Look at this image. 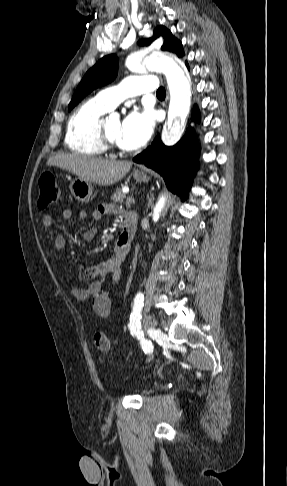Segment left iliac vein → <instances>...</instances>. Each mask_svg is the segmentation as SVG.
Listing matches in <instances>:
<instances>
[{"mask_svg": "<svg viewBox=\"0 0 287 486\" xmlns=\"http://www.w3.org/2000/svg\"><path fill=\"white\" fill-rule=\"evenodd\" d=\"M155 324H156V321H155L154 318L149 317V316L144 317L143 325H144L145 329L150 331L155 338H158L160 340H164L165 337H166L165 334L160 329H156Z\"/></svg>", "mask_w": 287, "mask_h": 486, "instance_id": "left-iliac-vein-1", "label": "left iliac vein"}]
</instances>
